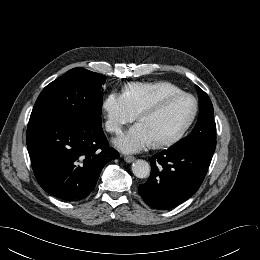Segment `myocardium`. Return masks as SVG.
Masks as SVG:
<instances>
[{
  "label": "myocardium",
  "mask_w": 260,
  "mask_h": 260,
  "mask_svg": "<svg viewBox=\"0 0 260 260\" xmlns=\"http://www.w3.org/2000/svg\"><path fill=\"white\" fill-rule=\"evenodd\" d=\"M176 97H186L189 98L192 103H193V107H192V111L190 113V116L188 117L187 121L184 123V125L174 134L162 139V140H158L154 142V145L156 147H164V146H169L175 142H177L178 140H180L185 134L186 132L190 129V127L192 126V124L194 123L197 114H198V101L197 99L190 93L184 92V91H177V92H172V93H168L165 94L163 96H161L160 98H158L156 101H154L151 105H149L148 107L144 108L143 110H141L137 116L138 121H140L142 118L146 117V116H150L152 114H155L157 111L160 110V108L170 99L176 98Z\"/></svg>",
  "instance_id": "1"
}]
</instances>
